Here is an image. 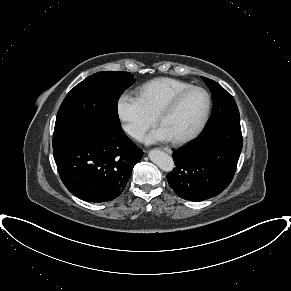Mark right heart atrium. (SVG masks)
I'll return each mask as SVG.
<instances>
[{"instance_id": "1", "label": "right heart atrium", "mask_w": 291, "mask_h": 291, "mask_svg": "<svg viewBox=\"0 0 291 291\" xmlns=\"http://www.w3.org/2000/svg\"><path fill=\"white\" fill-rule=\"evenodd\" d=\"M117 114L123 129L133 139L139 140L151 128L156 118L148 112L140 99L123 93L117 100Z\"/></svg>"}]
</instances>
